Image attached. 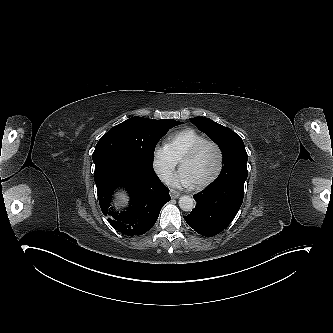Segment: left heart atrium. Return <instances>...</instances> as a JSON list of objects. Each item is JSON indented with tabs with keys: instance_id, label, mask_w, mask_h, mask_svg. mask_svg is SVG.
<instances>
[{
	"instance_id": "1",
	"label": "left heart atrium",
	"mask_w": 333,
	"mask_h": 333,
	"mask_svg": "<svg viewBox=\"0 0 333 333\" xmlns=\"http://www.w3.org/2000/svg\"><path fill=\"white\" fill-rule=\"evenodd\" d=\"M168 183L177 188L190 187L193 185V181L183 168L177 174L169 178Z\"/></svg>"
}]
</instances>
